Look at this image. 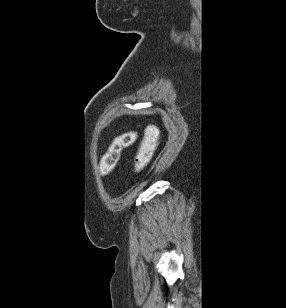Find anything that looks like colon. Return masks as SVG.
Instances as JSON below:
<instances>
[{
  "instance_id": "1",
  "label": "colon",
  "mask_w": 286,
  "mask_h": 308,
  "mask_svg": "<svg viewBox=\"0 0 286 308\" xmlns=\"http://www.w3.org/2000/svg\"><path fill=\"white\" fill-rule=\"evenodd\" d=\"M138 138L136 131H127L117 136L111 143L107 152L100 161V173L106 175L110 173L117 165L122 150L132 146ZM155 141L152 138L143 140L134 158L133 173L139 174L149 165L155 147Z\"/></svg>"
}]
</instances>
